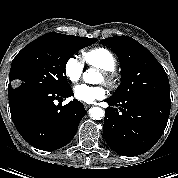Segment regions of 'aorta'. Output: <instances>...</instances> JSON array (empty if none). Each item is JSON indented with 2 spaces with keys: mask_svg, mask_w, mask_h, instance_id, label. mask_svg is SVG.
<instances>
[{
  "mask_svg": "<svg viewBox=\"0 0 178 178\" xmlns=\"http://www.w3.org/2000/svg\"><path fill=\"white\" fill-rule=\"evenodd\" d=\"M95 69H88L83 73V79L86 83H90L92 81V76L96 74ZM104 110L100 107H93L89 110V115L93 120H101L104 117Z\"/></svg>",
  "mask_w": 178,
  "mask_h": 178,
  "instance_id": "1",
  "label": "aorta"
}]
</instances>
